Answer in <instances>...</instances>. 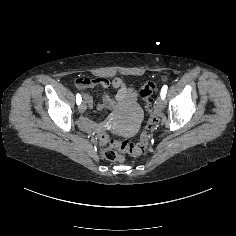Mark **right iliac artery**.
I'll return each instance as SVG.
<instances>
[{"label":"right iliac artery","mask_w":236,"mask_h":236,"mask_svg":"<svg viewBox=\"0 0 236 236\" xmlns=\"http://www.w3.org/2000/svg\"><path fill=\"white\" fill-rule=\"evenodd\" d=\"M81 101H82L81 95H80V94H77V95H76V103H77V105H80V104H81Z\"/></svg>","instance_id":"1"}]
</instances>
